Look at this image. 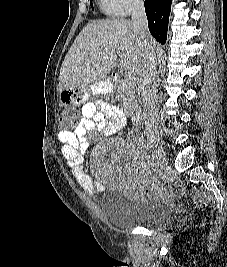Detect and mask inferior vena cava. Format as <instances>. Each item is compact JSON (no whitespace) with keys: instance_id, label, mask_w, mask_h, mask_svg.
Wrapping results in <instances>:
<instances>
[{"instance_id":"1","label":"inferior vena cava","mask_w":227,"mask_h":267,"mask_svg":"<svg viewBox=\"0 0 227 267\" xmlns=\"http://www.w3.org/2000/svg\"><path fill=\"white\" fill-rule=\"evenodd\" d=\"M132 24L139 33L144 46L143 64L138 78V86L141 92L146 134L154 137L158 134V115L156 106V55L154 49L148 44L150 36L147 17L142 0H134L132 4Z\"/></svg>"}]
</instances>
